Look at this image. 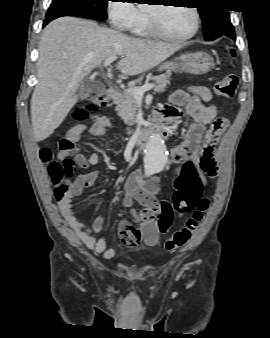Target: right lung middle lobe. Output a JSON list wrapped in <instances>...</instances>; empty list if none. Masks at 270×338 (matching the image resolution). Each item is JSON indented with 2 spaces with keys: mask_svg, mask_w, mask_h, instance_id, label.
I'll return each mask as SVG.
<instances>
[{
  "mask_svg": "<svg viewBox=\"0 0 270 338\" xmlns=\"http://www.w3.org/2000/svg\"><path fill=\"white\" fill-rule=\"evenodd\" d=\"M109 0H53L46 14L47 18L79 16L94 20H106Z\"/></svg>",
  "mask_w": 270,
  "mask_h": 338,
  "instance_id": "1",
  "label": "right lung middle lobe"
}]
</instances>
